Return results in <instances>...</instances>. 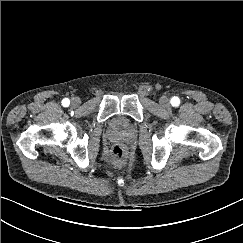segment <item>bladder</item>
I'll list each match as a JSON object with an SVG mask.
<instances>
[{"label":"bladder","instance_id":"bladder-1","mask_svg":"<svg viewBox=\"0 0 243 243\" xmlns=\"http://www.w3.org/2000/svg\"><path fill=\"white\" fill-rule=\"evenodd\" d=\"M115 125H116V126H120V123H119V122H116Z\"/></svg>","mask_w":243,"mask_h":243}]
</instances>
